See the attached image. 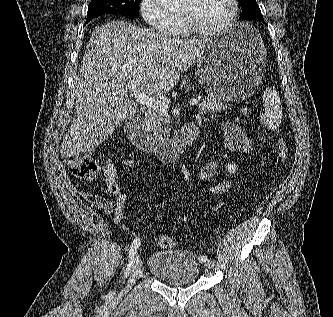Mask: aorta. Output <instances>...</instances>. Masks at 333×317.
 Listing matches in <instances>:
<instances>
[{
  "label": "aorta",
  "instance_id": "aorta-1",
  "mask_svg": "<svg viewBox=\"0 0 333 317\" xmlns=\"http://www.w3.org/2000/svg\"><path fill=\"white\" fill-rule=\"evenodd\" d=\"M156 2L163 6L165 9L172 10L178 7L183 2V0H156Z\"/></svg>",
  "mask_w": 333,
  "mask_h": 317
}]
</instances>
